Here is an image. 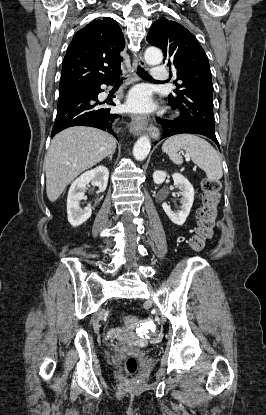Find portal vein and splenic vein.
I'll use <instances>...</instances> for the list:
<instances>
[{"mask_svg":"<svg viewBox=\"0 0 266 415\" xmlns=\"http://www.w3.org/2000/svg\"><path fill=\"white\" fill-rule=\"evenodd\" d=\"M186 160H187V161H189V160H190V158L187 156V157H186Z\"/></svg>","mask_w":266,"mask_h":415,"instance_id":"18ae733b","label":"portal vein and splenic vein"}]
</instances>
